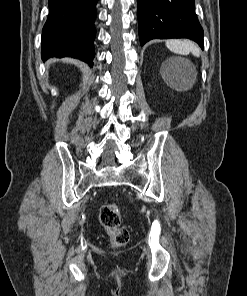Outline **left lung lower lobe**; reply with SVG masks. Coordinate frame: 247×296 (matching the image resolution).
<instances>
[{
  "label": "left lung lower lobe",
  "instance_id": "left-lung-lower-lobe-1",
  "mask_svg": "<svg viewBox=\"0 0 247 296\" xmlns=\"http://www.w3.org/2000/svg\"><path fill=\"white\" fill-rule=\"evenodd\" d=\"M141 46L151 39L189 38L203 49L195 0H137Z\"/></svg>",
  "mask_w": 247,
  "mask_h": 296
}]
</instances>
